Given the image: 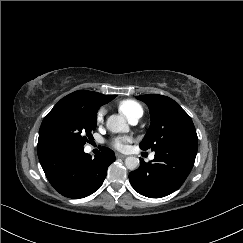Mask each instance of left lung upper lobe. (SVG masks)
I'll return each mask as SVG.
<instances>
[{"instance_id":"left-lung-upper-lobe-1","label":"left lung upper lobe","mask_w":243,"mask_h":243,"mask_svg":"<svg viewBox=\"0 0 243 243\" xmlns=\"http://www.w3.org/2000/svg\"><path fill=\"white\" fill-rule=\"evenodd\" d=\"M136 98L148 105L151 115V125L139 145L142 150L156 151L178 140L197 139L192 119L173 99L157 94Z\"/></svg>"}]
</instances>
